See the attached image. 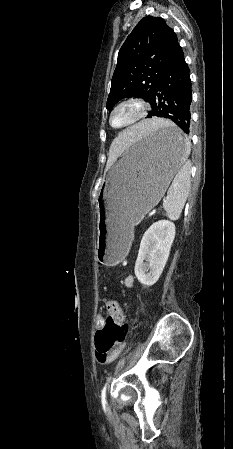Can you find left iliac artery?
<instances>
[{
    "instance_id": "obj_1",
    "label": "left iliac artery",
    "mask_w": 233,
    "mask_h": 449,
    "mask_svg": "<svg viewBox=\"0 0 233 449\" xmlns=\"http://www.w3.org/2000/svg\"><path fill=\"white\" fill-rule=\"evenodd\" d=\"M110 379H111V377L107 380V382L105 383V385L102 389V392H101V402H102L103 407H105V405H106V388H107V385H108V382L110 381Z\"/></svg>"
}]
</instances>
